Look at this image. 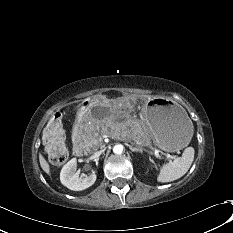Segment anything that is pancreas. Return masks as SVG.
Instances as JSON below:
<instances>
[{
    "label": "pancreas",
    "instance_id": "1",
    "mask_svg": "<svg viewBox=\"0 0 233 233\" xmlns=\"http://www.w3.org/2000/svg\"><path fill=\"white\" fill-rule=\"evenodd\" d=\"M121 125L114 123L108 119L99 123H91L85 127L86 134L83 140L86 146L91 150H97L99 147H103V136L109 135L121 140H134L140 141L143 144H149L151 136L146 126L140 124L138 121H134V126L127 130V133L121 132Z\"/></svg>",
    "mask_w": 233,
    "mask_h": 233
}]
</instances>
